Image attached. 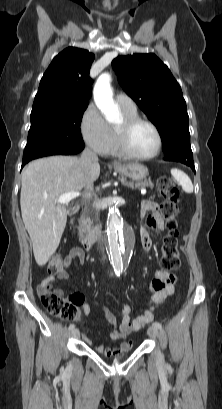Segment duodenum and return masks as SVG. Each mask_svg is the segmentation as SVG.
<instances>
[{"label": "duodenum", "instance_id": "410a0bca", "mask_svg": "<svg viewBox=\"0 0 222 409\" xmlns=\"http://www.w3.org/2000/svg\"><path fill=\"white\" fill-rule=\"evenodd\" d=\"M80 209L79 205H75L71 208V213L76 214ZM101 234V228L98 226L96 227L89 235L85 237L84 246L86 249H90L95 241L99 238Z\"/></svg>", "mask_w": 222, "mask_h": 409}]
</instances>
